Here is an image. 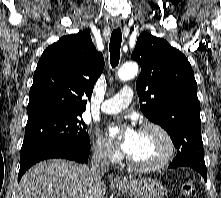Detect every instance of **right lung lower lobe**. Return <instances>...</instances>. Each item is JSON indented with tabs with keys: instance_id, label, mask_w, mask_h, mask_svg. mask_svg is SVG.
Segmentation results:
<instances>
[{
	"instance_id": "98d812e1",
	"label": "right lung lower lobe",
	"mask_w": 221,
	"mask_h": 198,
	"mask_svg": "<svg viewBox=\"0 0 221 198\" xmlns=\"http://www.w3.org/2000/svg\"><path fill=\"white\" fill-rule=\"evenodd\" d=\"M89 151L90 149L64 143L51 144L31 151L20 158L18 182L26 170L39 161L52 158H64L84 163L89 157Z\"/></svg>"
}]
</instances>
